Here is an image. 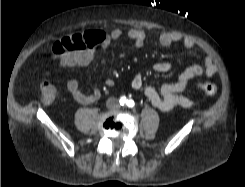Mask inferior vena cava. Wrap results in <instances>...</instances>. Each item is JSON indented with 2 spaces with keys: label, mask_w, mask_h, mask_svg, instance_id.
Wrapping results in <instances>:
<instances>
[{
  "label": "inferior vena cava",
  "mask_w": 245,
  "mask_h": 187,
  "mask_svg": "<svg viewBox=\"0 0 245 187\" xmlns=\"http://www.w3.org/2000/svg\"><path fill=\"white\" fill-rule=\"evenodd\" d=\"M118 103H117V99L115 98H110L108 99L107 101V106H114V107H117Z\"/></svg>",
  "instance_id": "inferior-vena-cava-1"
}]
</instances>
